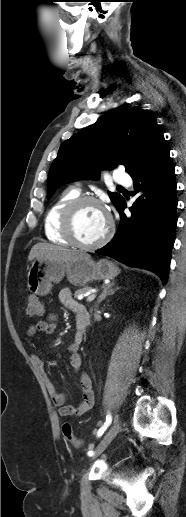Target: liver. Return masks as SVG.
Segmentation results:
<instances>
[{
  "mask_svg": "<svg viewBox=\"0 0 186 517\" xmlns=\"http://www.w3.org/2000/svg\"><path fill=\"white\" fill-rule=\"evenodd\" d=\"M35 258L37 260L48 259L50 261H80L90 259V255L81 251L71 250L61 246L37 243L32 247L28 256L30 261Z\"/></svg>",
  "mask_w": 186,
  "mask_h": 517,
  "instance_id": "6515ba94",
  "label": "liver"
}]
</instances>
